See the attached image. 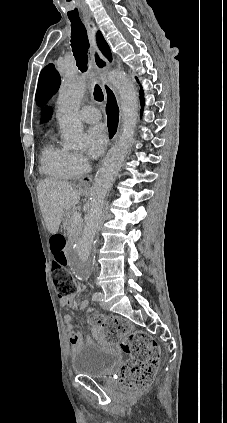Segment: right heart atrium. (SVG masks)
I'll list each match as a JSON object with an SVG mask.
<instances>
[{"label": "right heart atrium", "instance_id": "obj_1", "mask_svg": "<svg viewBox=\"0 0 227 423\" xmlns=\"http://www.w3.org/2000/svg\"><path fill=\"white\" fill-rule=\"evenodd\" d=\"M67 178L76 179L90 170V162L87 157L78 152H68L65 160Z\"/></svg>", "mask_w": 227, "mask_h": 423}]
</instances>
